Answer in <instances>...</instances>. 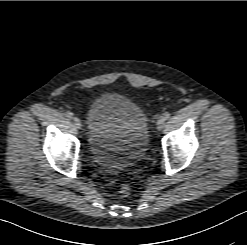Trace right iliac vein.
I'll list each match as a JSON object with an SVG mask.
<instances>
[{"label": "right iliac vein", "mask_w": 247, "mask_h": 245, "mask_svg": "<svg viewBox=\"0 0 247 245\" xmlns=\"http://www.w3.org/2000/svg\"><path fill=\"white\" fill-rule=\"evenodd\" d=\"M74 124L78 129H80L82 126L80 119L77 117L74 118Z\"/></svg>", "instance_id": "63e3f726"}]
</instances>
